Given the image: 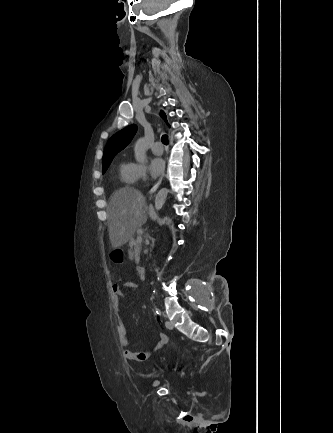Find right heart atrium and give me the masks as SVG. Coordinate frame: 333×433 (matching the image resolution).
Returning a JSON list of instances; mask_svg holds the SVG:
<instances>
[{
	"mask_svg": "<svg viewBox=\"0 0 333 433\" xmlns=\"http://www.w3.org/2000/svg\"><path fill=\"white\" fill-rule=\"evenodd\" d=\"M136 179H144L147 176V166L144 163H132Z\"/></svg>",
	"mask_w": 333,
	"mask_h": 433,
	"instance_id": "obj_1",
	"label": "right heart atrium"
}]
</instances>
